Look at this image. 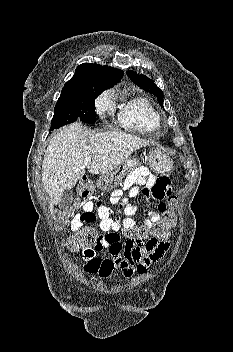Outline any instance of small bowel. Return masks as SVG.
<instances>
[{
	"mask_svg": "<svg viewBox=\"0 0 233 352\" xmlns=\"http://www.w3.org/2000/svg\"><path fill=\"white\" fill-rule=\"evenodd\" d=\"M126 190H129V197H123V191ZM140 193L157 202V209L148 211L142 226H138L132 218L136 212V206L129 202L130 197ZM170 193L171 187L167 177H156L150 174L146 167H138L128 175L122 188L111 194L110 201L117 205L116 210L100 202L85 201L83 211L71 222V230L77 232L83 224L93 223L98 218L100 229L105 232V235L99 245L83 250L84 271L111 280L116 271H120L125 277H130L135 272L144 274L151 264L158 262L168 250V242L155 247L131 245L127 242L123 244L120 233L128 229H151L160 220V208L165 205L164 199ZM87 195L88 191H84L83 196ZM102 248L109 250L110 258H101L97 255Z\"/></svg>",
	"mask_w": 233,
	"mask_h": 352,
	"instance_id": "small-bowel-1",
	"label": "small bowel"
}]
</instances>
